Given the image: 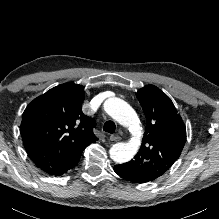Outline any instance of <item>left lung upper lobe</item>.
<instances>
[{
	"label": "left lung upper lobe",
	"instance_id": "1",
	"mask_svg": "<svg viewBox=\"0 0 219 219\" xmlns=\"http://www.w3.org/2000/svg\"><path fill=\"white\" fill-rule=\"evenodd\" d=\"M136 96L146 116V130L139 152L123 165L155 180L180 156L186 128L171 99L156 86L147 85Z\"/></svg>",
	"mask_w": 219,
	"mask_h": 219
}]
</instances>
